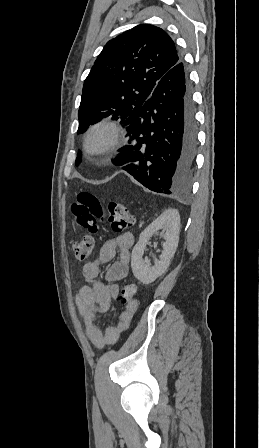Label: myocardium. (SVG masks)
I'll use <instances>...</instances> for the list:
<instances>
[{
	"label": "myocardium",
	"instance_id": "f54148a6",
	"mask_svg": "<svg viewBox=\"0 0 259 448\" xmlns=\"http://www.w3.org/2000/svg\"><path fill=\"white\" fill-rule=\"evenodd\" d=\"M120 130V126L110 119H101L90 124L82 139L83 157L88 161L107 163L119 140ZM97 136H100V141L95 144L94 139Z\"/></svg>",
	"mask_w": 259,
	"mask_h": 448
}]
</instances>
